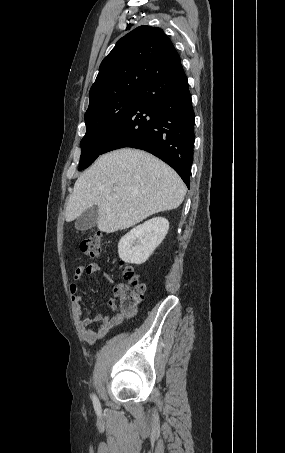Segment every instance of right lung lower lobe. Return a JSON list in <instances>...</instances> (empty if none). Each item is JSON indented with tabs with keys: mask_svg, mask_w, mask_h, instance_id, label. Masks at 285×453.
Listing matches in <instances>:
<instances>
[{
	"mask_svg": "<svg viewBox=\"0 0 285 453\" xmlns=\"http://www.w3.org/2000/svg\"><path fill=\"white\" fill-rule=\"evenodd\" d=\"M194 111L181 64L150 80L103 153L132 147L157 156L190 187Z\"/></svg>",
	"mask_w": 285,
	"mask_h": 453,
	"instance_id": "right-lung-lower-lobe-1",
	"label": "right lung lower lobe"
}]
</instances>
